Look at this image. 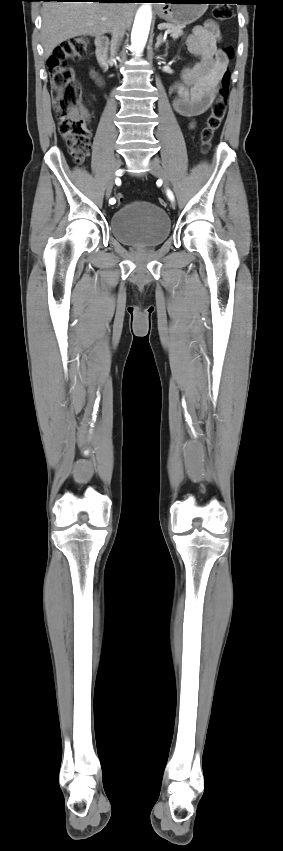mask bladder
<instances>
[{
    "mask_svg": "<svg viewBox=\"0 0 283 851\" xmlns=\"http://www.w3.org/2000/svg\"><path fill=\"white\" fill-rule=\"evenodd\" d=\"M110 228L112 235L123 244L152 247L168 237L171 223L161 207L147 201H134L114 211Z\"/></svg>",
    "mask_w": 283,
    "mask_h": 851,
    "instance_id": "bladder-1",
    "label": "bladder"
}]
</instances>
